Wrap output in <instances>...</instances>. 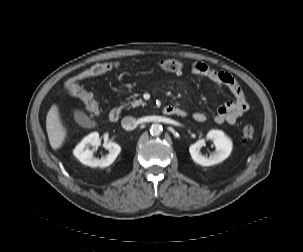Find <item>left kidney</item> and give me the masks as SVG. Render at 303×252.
Here are the masks:
<instances>
[{
  "label": "left kidney",
  "mask_w": 303,
  "mask_h": 252,
  "mask_svg": "<svg viewBox=\"0 0 303 252\" xmlns=\"http://www.w3.org/2000/svg\"><path fill=\"white\" fill-rule=\"evenodd\" d=\"M206 139L213 140L216 151L209 157H204L200 149L205 145V139L198 140L189 147V152L194 162L202 166H212L224 161L230 155L232 142L224 132L214 129L210 130L206 135Z\"/></svg>",
  "instance_id": "obj_1"
}]
</instances>
